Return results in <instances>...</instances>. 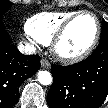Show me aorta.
Returning <instances> with one entry per match:
<instances>
[{"instance_id":"aorta-1","label":"aorta","mask_w":108,"mask_h":108,"mask_svg":"<svg viewBox=\"0 0 108 108\" xmlns=\"http://www.w3.org/2000/svg\"><path fill=\"white\" fill-rule=\"evenodd\" d=\"M52 75L48 71H39L38 72V81L42 85H50L52 83Z\"/></svg>"}]
</instances>
